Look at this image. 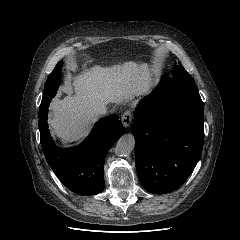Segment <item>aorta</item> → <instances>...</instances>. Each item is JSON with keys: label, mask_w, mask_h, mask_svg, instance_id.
Here are the masks:
<instances>
[{"label": "aorta", "mask_w": 240, "mask_h": 240, "mask_svg": "<svg viewBox=\"0 0 240 240\" xmlns=\"http://www.w3.org/2000/svg\"><path fill=\"white\" fill-rule=\"evenodd\" d=\"M135 140L133 135L125 134L117 142L115 147V154L118 156H127L133 149Z\"/></svg>", "instance_id": "aorta-1"}]
</instances>
